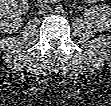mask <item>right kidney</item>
<instances>
[{"mask_svg": "<svg viewBox=\"0 0 111 106\" xmlns=\"http://www.w3.org/2000/svg\"><path fill=\"white\" fill-rule=\"evenodd\" d=\"M26 0H1L0 2V18L1 31L11 33L18 29L22 24V18L18 11H27L29 6Z\"/></svg>", "mask_w": 111, "mask_h": 106, "instance_id": "ca27d5eb", "label": "right kidney"}]
</instances>
